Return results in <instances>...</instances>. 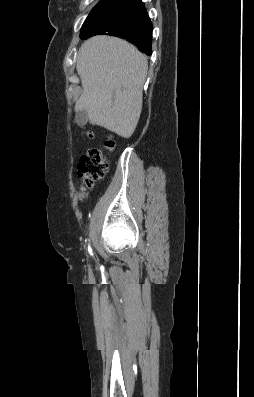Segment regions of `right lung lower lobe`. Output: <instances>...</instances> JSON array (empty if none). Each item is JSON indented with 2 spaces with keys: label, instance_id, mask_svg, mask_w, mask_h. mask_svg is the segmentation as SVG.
Here are the masks:
<instances>
[{
  "label": "right lung lower lobe",
  "instance_id": "obj_1",
  "mask_svg": "<svg viewBox=\"0 0 254 397\" xmlns=\"http://www.w3.org/2000/svg\"><path fill=\"white\" fill-rule=\"evenodd\" d=\"M80 34L83 40L98 34L117 36L152 54V23L141 0H106Z\"/></svg>",
  "mask_w": 254,
  "mask_h": 397
}]
</instances>
